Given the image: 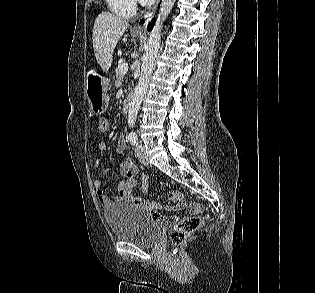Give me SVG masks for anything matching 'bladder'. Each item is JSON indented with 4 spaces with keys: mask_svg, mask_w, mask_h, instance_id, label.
I'll return each instance as SVG.
<instances>
[{
    "mask_svg": "<svg viewBox=\"0 0 315 293\" xmlns=\"http://www.w3.org/2000/svg\"><path fill=\"white\" fill-rule=\"evenodd\" d=\"M106 223L117 240L138 246H152L160 238L159 226L136 205L117 203L104 211Z\"/></svg>",
    "mask_w": 315,
    "mask_h": 293,
    "instance_id": "31cf9c89",
    "label": "bladder"
}]
</instances>
